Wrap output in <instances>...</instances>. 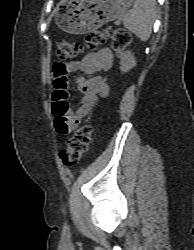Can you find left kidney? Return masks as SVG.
Masks as SVG:
<instances>
[{
    "instance_id": "5707ae66",
    "label": "left kidney",
    "mask_w": 194,
    "mask_h": 250,
    "mask_svg": "<svg viewBox=\"0 0 194 250\" xmlns=\"http://www.w3.org/2000/svg\"><path fill=\"white\" fill-rule=\"evenodd\" d=\"M136 66V60L131 51H127L121 55V67L122 72H128L130 69Z\"/></svg>"
}]
</instances>
